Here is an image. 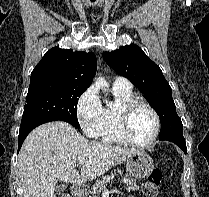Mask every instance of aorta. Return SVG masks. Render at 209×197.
<instances>
[{"label": "aorta", "mask_w": 209, "mask_h": 197, "mask_svg": "<svg viewBox=\"0 0 209 197\" xmlns=\"http://www.w3.org/2000/svg\"><path fill=\"white\" fill-rule=\"evenodd\" d=\"M96 85L100 86L102 89L106 90V87H108V83L106 80L102 77L97 78Z\"/></svg>", "instance_id": "aorta-1"}]
</instances>
